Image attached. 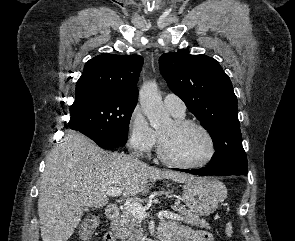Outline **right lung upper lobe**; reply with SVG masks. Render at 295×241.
<instances>
[{
	"label": "right lung upper lobe",
	"mask_w": 295,
	"mask_h": 241,
	"mask_svg": "<svg viewBox=\"0 0 295 241\" xmlns=\"http://www.w3.org/2000/svg\"><path fill=\"white\" fill-rule=\"evenodd\" d=\"M142 65L143 57L139 55L102 53L85 64L76 84L75 97L81 99L90 94L103 93L137 102L136 84Z\"/></svg>",
	"instance_id": "obj_1"
}]
</instances>
